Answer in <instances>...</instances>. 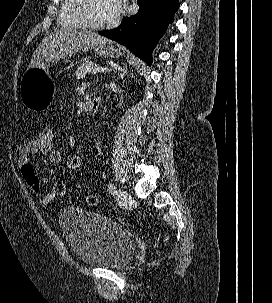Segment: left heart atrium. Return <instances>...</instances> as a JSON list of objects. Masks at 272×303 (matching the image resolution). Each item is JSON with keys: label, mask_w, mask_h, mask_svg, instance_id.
Returning a JSON list of instances; mask_svg holds the SVG:
<instances>
[{"label": "left heart atrium", "mask_w": 272, "mask_h": 303, "mask_svg": "<svg viewBox=\"0 0 272 303\" xmlns=\"http://www.w3.org/2000/svg\"><path fill=\"white\" fill-rule=\"evenodd\" d=\"M110 15L112 19L118 18L124 10L123 0H108Z\"/></svg>", "instance_id": "1"}]
</instances>
